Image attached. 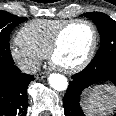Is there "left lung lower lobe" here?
Segmentation results:
<instances>
[{
  "label": "left lung lower lobe",
  "mask_w": 116,
  "mask_h": 116,
  "mask_svg": "<svg viewBox=\"0 0 116 116\" xmlns=\"http://www.w3.org/2000/svg\"><path fill=\"white\" fill-rule=\"evenodd\" d=\"M71 78L63 98L65 116H85L80 106L81 95L85 90L106 81L116 86V57L93 58L84 70Z\"/></svg>",
  "instance_id": "0a47b994"
}]
</instances>
